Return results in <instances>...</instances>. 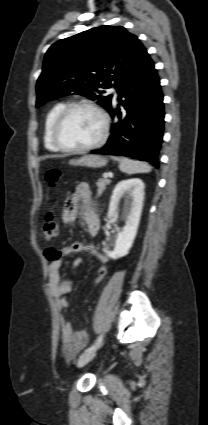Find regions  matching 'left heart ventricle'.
<instances>
[{"label": "left heart ventricle", "instance_id": "1", "mask_svg": "<svg viewBox=\"0 0 208 425\" xmlns=\"http://www.w3.org/2000/svg\"><path fill=\"white\" fill-rule=\"evenodd\" d=\"M101 130L98 115L91 110L79 108L66 117L59 131V139L68 147L80 148L95 142Z\"/></svg>", "mask_w": 208, "mask_h": 425}]
</instances>
